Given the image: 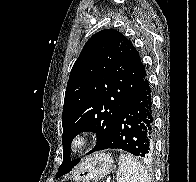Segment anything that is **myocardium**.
Listing matches in <instances>:
<instances>
[{
    "label": "myocardium",
    "instance_id": "obj_1",
    "mask_svg": "<svg viewBox=\"0 0 196 182\" xmlns=\"http://www.w3.org/2000/svg\"><path fill=\"white\" fill-rule=\"evenodd\" d=\"M94 133L89 130L77 132L70 140V149L74 153L84 152L93 142Z\"/></svg>",
    "mask_w": 196,
    "mask_h": 182
}]
</instances>
